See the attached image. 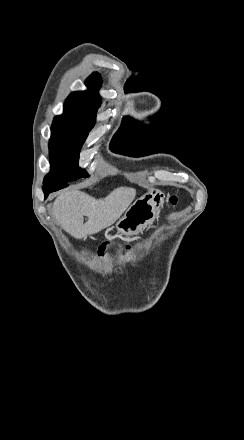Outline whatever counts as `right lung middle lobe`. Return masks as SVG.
<instances>
[{"mask_svg":"<svg viewBox=\"0 0 244 440\" xmlns=\"http://www.w3.org/2000/svg\"><path fill=\"white\" fill-rule=\"evenodd\" d=\"M97 110L64 107V114L54 119L51 127L50 173L43 184L89 177L78 167L80 149L96 122Z\"/></svg>","mask_w":244,"mask_h":440,"instance_id":"right-lung-middle-lobe-1","label":"right lung middle lobe"}]
</instances>
